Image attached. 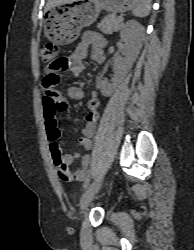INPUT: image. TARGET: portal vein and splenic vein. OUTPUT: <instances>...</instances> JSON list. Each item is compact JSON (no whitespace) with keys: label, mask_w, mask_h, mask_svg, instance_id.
I'll list each match as a JSON object with an SVG mask.
<instances>
[{"label":"portal vein and splenic vein","mask_w":194,"mask_h":250,"mask_svg":"<svg viewBox=\"0 0 194 250\" xmlns=\"http://www.w3.org/2000/svg\"><path fill=\"white\" fill-rule=\"evenodd\" d=\"M119 20H120V21H123V17H122V16H120V17H119Z\"/></svg>","instance_id":"1"}]
</instances>
